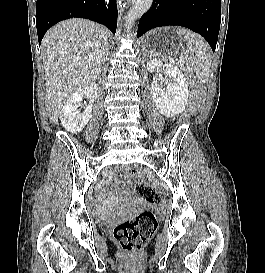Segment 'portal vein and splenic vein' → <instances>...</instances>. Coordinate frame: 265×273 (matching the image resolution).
Returning a JSON list of instances; mask_svg holds the SVG:
<instances>
[{
    "label": "portal vein and splenic vein",
    "mask_w": 265,
    "mask_h": 273,
    "mask_svg": "<svg viewBox=\"0 0 265 273\" xmlns=\"http://www.w3.org/2000/svg\"><path fill=\"white\" fill-rule=\"evenodd\" d=\"M168 59H169L171 62L175 61V59H174V58H171V57H169Z\"/></svg>",
    "instance_id": "obj_1"
}]
</instances>
